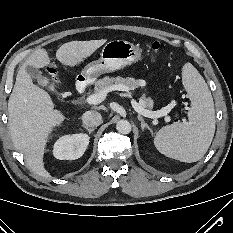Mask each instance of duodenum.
Instances as JSON below:
<instances>
[{
	"mask_svg": "<svg viewBox=\"0 0 233 233\" xmlns=\"http://www.w3.org/2000/svg\"><path fill=\"white\" fill-rule=\"evenodd\" d=\"M87 86V82L85 79H79L76 83V91L78 94H82Z\"/></svg>",
	"mask_w": 233,
	"mask_h": 233,
	"instance_id": "410a0bca",
	"label": "duodenum"
}]
</instances>
